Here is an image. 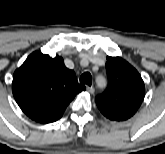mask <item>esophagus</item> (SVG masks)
<instances>
[{"instance_id": "esophagus-1", "label": "esophagus", "mask_w": 165, "mask_h": 154, "mask_svg": "<svg viewBox=\"0 0 165 154\" xmlns=\"http://www.w3.org/2000/svg\"><path fill=\"white\" fill-rule=\"evenodd\" d=\"M86 89H87V91H88L90 94H93L94 91H95V89H94L93 86H87Z\"/></svg>"}]
</instances>
